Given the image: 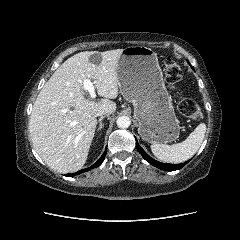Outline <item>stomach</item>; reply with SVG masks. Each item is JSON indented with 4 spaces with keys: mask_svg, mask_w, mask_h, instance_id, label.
Instances as JSON below:
<instances>
[{
    "mask_svg": "<svg viewBox=\"0 0 240 240\" xmlns=\"http://www.w3.org/2000/svg\"><path fill=\"white\" fill-rule=\"evenodd\" d=\"M118 86L134 106L138 133L149 143H170L179 137L178 121L157 54L145 46L123 49L118 62Z\"/></svg>",
    "mask_w": 240,
    "mask_h": 240,
    "instance_id": "stomach-1",
    "label": "stomach"
}]
</instances>
